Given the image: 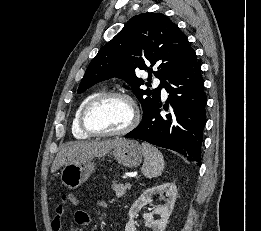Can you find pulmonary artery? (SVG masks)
I'll use <instances>...</instances> for the list:
<instances>
[{
    "instance_id": "1",
    "label": "pulmonary artery",
    "mask_w": 261,
    "mask_h": 231,
    "mask_svg": "<svg viewBox=\"0 0 261 231\" xmlns=\"http://www.w3.org/2000/svg\"><path fill=\"white\" fill-rule=\"evenodd\" d=\"M160 84H161V83H160V80H159V79H155V80H154V85H155V86H159ZM162 96H163L164 98L167 97V91H166L165 88H162Z\"/></svg>"
}]
</instances>
